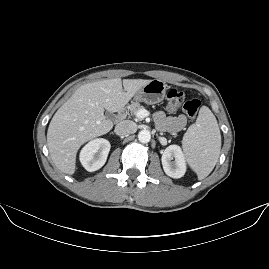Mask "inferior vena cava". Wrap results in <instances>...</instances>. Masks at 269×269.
Returning a JSON list of instances; mask_svg holds the SVG:
<instances>
[{"label": "inferior vena cava", "instance_id": "1", "mask_svg": "<svg viewBox=\"0 0 269 269\" xmlns=\"http://www.w3.org/2000/svg\"><path fill=\"white\" fill-rule=\"evenodd\" d=\"M137 131V124L131 120H124L116 125L115 133L119 136L133 134Z\"/></svg>", "mask_w": 269, "mask_h": 269}]
</instances>
